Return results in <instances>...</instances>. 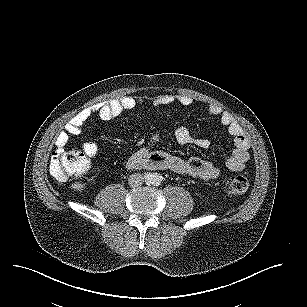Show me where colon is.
<instances>
[{"label":"colon","mask_w":307,"mask_h":307,"mask_svg":"<svg viewBox=\"0 0 307 307\" xmlns=\"http://www.w3.org/2000/svg\"><path fill=\"white\" fill-rule=\"evenodd\" d=\"M90 170L88 157L79 149L62 153H53L50 161V172L60 181L74 179L79 182ZM250 186V181L243 175H232L225 181L224 188L231 195L244 194Z\"/></svg>","instance_id":"1"}]
</instances>
